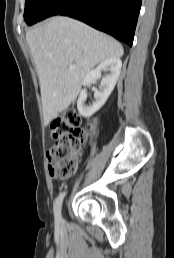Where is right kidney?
<instances>
[{"instance_id": "1", "label": "right kidney", "mask_w": 174, "mask_h": 258, "mask_svg": "<svg viewBox=\"0 0 174 258\" xmlns=\"http://www.w3.org/2000/svg\"><path fill=\"white\" fill-rule=\"evenodd\" d=\"M122 67V62L119 58H110L101 62L96 69L89 72L83 80V85H90L94 80L101 78V72L104 70H109L110 73L106 77L102 78L100 90L94 92L95 101L92 102V105H85L87 99L86 89H83L80 92L77 108L83 117H90L96 111H98L107 101L108 97L112 93L118 77L120 75Z\"/></svg>"}]
</instances>
